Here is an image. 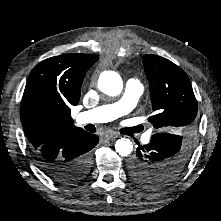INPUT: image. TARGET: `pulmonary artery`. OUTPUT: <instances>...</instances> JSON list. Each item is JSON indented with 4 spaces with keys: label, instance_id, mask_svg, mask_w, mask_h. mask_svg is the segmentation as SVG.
Returning <instances> with one entry per match:
<instances>
[{
    "label": "pulmonary artery",
    "instance_id": "obj_1",
    "mask_svg": "<svg viewBox=\"0 0 221 221\" xmlns=\"http://www.w3.org/2000/svg\"><path fill=\"white\" fill-rule=\"evenodd\" d=\"M143 93L142 84L135 78L127 81L122 97L111 104L101 105L76 115L78 124L104 123L113 121L130 112L137 104Z\"/></svg>",
    "mask_w": 221,
    "mask_h": 221
}]
</instances>
